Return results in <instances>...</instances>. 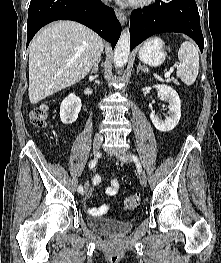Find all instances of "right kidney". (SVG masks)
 I'll use <instances>...</instances> for the list:
<instances>
[{
	"label": "right kidney",
	"mask_w": 221,
	"mask_h": 263,
	"mask_svg": "<svg viewBox=\"0 0 221 263\" xmlns=\"http://www.w3.org/2000/svg\"><path fill=\"white\" fill-rule=\"evenodd\" d=\"M81 99L74 93L63 99L60 105V119L63 124L68 125L75 122L81 110Z\"/></svg>",
	"instance_id": "obj_1"
}]
</instances>
